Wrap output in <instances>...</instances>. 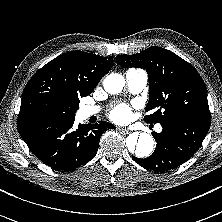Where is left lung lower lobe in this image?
Instances as JSON below:
<instances>
[{
	"mask_svg": "<svg viewBox=\"0 0 222 222\" xmlns=\"http://www.w3.org/2000/svg\"><path fill=\"white\" fill-rule=\"evenodd\" d=\"M211 119L196 116L173 117L161 122L162 132H154L157 142L153 154L145 159L133 157L139 165L155 172L177 168L191 158L205 139Z\"/></svg>",
	"mask_w": 222,
	"mask_h": 222,
	"instance_id": "0a47b994",
	"label": "left lung lower lobe"
}]
</instances>
